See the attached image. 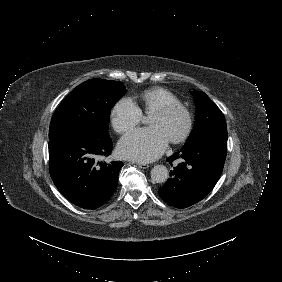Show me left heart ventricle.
<instances>
[{
  "instance_id": "b2bd125f",
  "label": "left heart ventricle",
  "mask_w": 282,
  "mask_h": 282,
  "mask_svg": "<svg viewBox=\"0 0 282 282\" xmlns=\"http://www.w3.org/2000/svg\"><path fill=\"white\" fill-rule=\"evenodd\" d=\"M149 124L152 127H159L165 133L168 139H170L181 130L183 126V119L180 115L163 117L153 114L149 116Z\"/></svg>"
}]
</instances>
